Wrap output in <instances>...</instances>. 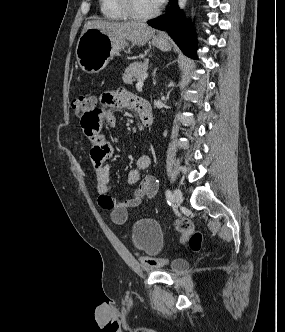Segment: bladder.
<instances>
[{
  "label": "bladder",
  "mask_w": 285,
  "mask_h": 332,
  "mask_svg": "<svg viewBox=\"0 0 285 332\" xmlns=\"http://www.w3.org/2000/svg\"><path fill=\"white\" fill-rule=\"evenodd\" d=\"M163 241L161 226L153 219H142L136 222L132 228V248L143 254H154ZM188 264L184 260L176 259L170 263V271L180 273L187 270Z\"/></svg>",
  "instance_id": "1"
}]
</instances>
